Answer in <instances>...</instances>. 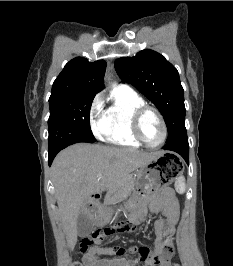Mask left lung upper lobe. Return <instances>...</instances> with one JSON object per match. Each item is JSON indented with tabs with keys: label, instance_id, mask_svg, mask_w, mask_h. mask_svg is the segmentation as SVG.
Masks as SVG:
<instances>
[{
	"label": "left lung upper lobe",
	"instance_id": "obj_1",
	"mask_svg": "<svg viewBox=\"0 0 233 266\" xmlns=\"http://www.w3.org/2000/svg\"><path fill=\"white\" fill-rule=\"evenodd\" d=\"M119 77L137 88L164 117L168 138L185 128L184 91L177 69L164 56L142 50L134 57L115 61Z\"/></svg>",
	"mask_w": 233,
	"mask_h": 266
}]
</instances>
